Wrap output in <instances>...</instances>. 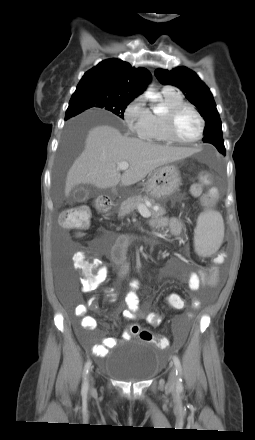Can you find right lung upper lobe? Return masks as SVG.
<instances>
[{
	"instance_id": "1",
	"label": "right lung upper lobe",
	"mask_w": 255,
	"mask_h": 440,
	"mask_svg": "<svg viewBox=\"0 0 255 440\" xmlns=\"http://www.w3.org/2000/svg\"><path fill=\"white\" fill-rule=\"evenodd\" d=\"M150 80L151 74L145 68H134L119 59H107L84 74L75 93L98 92L133 100Z\"/></svg>"
}]
</instances>
